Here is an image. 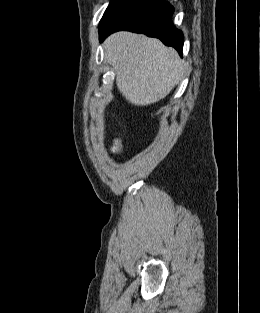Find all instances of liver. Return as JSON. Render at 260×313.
I'll return each instance as SVG.
<instances>
[{"instance_id": "1", "label": "liver", "mask_w": 260, "mask_h": 313, "mask_svg": "<svg viewBox=\"0 0 260 313\" xmlns=\"http://www.w3.org/2000/svg\"><path fill=\"white\" fill-rule=\"evenodd\" d=\"M104 49L119 91L136 106L158 102L184 78V61L158 39L122 31L108 37Z\"/></svg>"}]
</instances>
